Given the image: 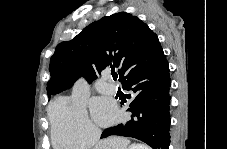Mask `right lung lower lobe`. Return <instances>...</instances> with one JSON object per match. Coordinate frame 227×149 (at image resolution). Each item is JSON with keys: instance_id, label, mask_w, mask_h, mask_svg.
<instances>
[{"instance_id": "obj_1", "label": "right lung lower lobe", "mask_w": 227, "mask_h": 149, "mask_svg": "<svg viewBox=\"0 0 227 149\" xmlns=\"http://www.w3.org/2000/svg\"><path fill=\"white\" fill-rule=\"evenodd\" d=\"M133 95L127 111L131 118L107 128L101 138L111 135L139 139L153 149H168L170 145V76L166 56L154 66L132 74L122 83Z\"/></svg>"}]
</instances>
